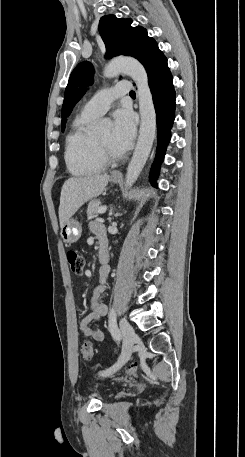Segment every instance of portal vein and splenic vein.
Instances as JSON below:
<instances>
[{"label": "portal vein and splenic vein", "mask_w": 245, "mask_h": 457, "mask_svg": "<svg viewBox=\"0 0 245 457\" xmlns=\"http://www.w3.org/2000/svg\"><path fill=\"white\" fill-rule=\"evenodd\" d=\"M107 210V206H100V208H98V212H106Z\"/></svg>", "instance_id": "18ae733b"}]
</instances>
